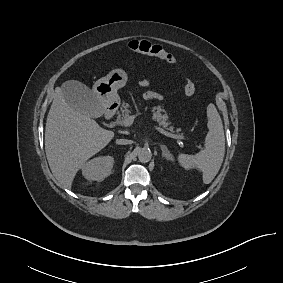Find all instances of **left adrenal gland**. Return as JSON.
<instances>
[{"label":"left adrenal gland","instance_id":"1","mask_svg":"<svg viewBox=\"0 0 283 283\" xmlns=\"http://www.w3.org/2000/svg\"><path fill=\"white\" fill-rule=\"evenodd\" d=\"M160 148L162 150V157L167 159V160L173 161L172 154L167 149V147L165 145H160Z\"/></svg>","mask_w":283,"mask_h":283}]
</instances>
